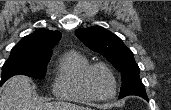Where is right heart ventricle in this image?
<instances>
[{"label": "right heart ventricle", "instance_id": "obj_1", "mask_svg": "<svg viewBox=\"0 0 171 110\" xmlns=\"http://www.w3.org/2000/svg\"><path fill=\"white\" fill-rule=\"evenodd\" d=\"M90 65L85 55L76 50L65 52L59 59L53 83V93L57 98L88 103L93 99L86 93L82 75Z\"/></svg>", "mask_w": 171, "mask_h": 110}]
</instances>
